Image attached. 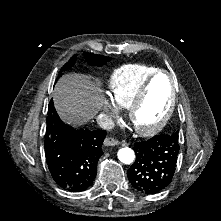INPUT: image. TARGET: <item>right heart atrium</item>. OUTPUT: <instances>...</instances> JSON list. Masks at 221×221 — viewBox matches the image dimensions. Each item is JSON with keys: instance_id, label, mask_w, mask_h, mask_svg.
Returning <instances> with one entry per match:
<instances>
[{"instance_id": "1", "label": "right heart atrium", "mask_w": 221, "mask_h": 221, "mask_svg": "<svg viewBox=\"0 0 221 221\" xmlns=\"http://www.w3.org/2000/svg\"><path fill=\"white\" fill-rule=\"evenodd\" d=\"M106 109L112 117H115L118 115V108L115 105L113 100H111V99L106 100Z\"/></svg>"}]
</instances>
